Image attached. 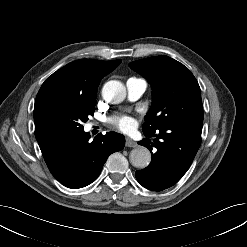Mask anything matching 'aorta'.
<instances>
[{
  "label": "aorta",
  "mask_w": 247,
  "mask_h": 247,
  "mask_svg": "<svg viewBox=\"0 0 247 247\" xmlns=\"http://www.w3.org/2000/svg\"><path fill=\"white\" fill-rule=\"evenodd\" d=\"M102 96L105 101L118 104L125 99L126 88L120 81L111 80L104 84ZM129 160L134 167L144 169L151 161V153L147 148L140 146L130 152Z\"/></svg>",
  "instance_id": "aorta-1"
}]
</instances>
